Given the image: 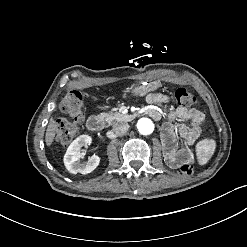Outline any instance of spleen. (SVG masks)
I'll use <instances>...</instances> for the list:
<instances>
[{
	"label": "spleen",
	"instance_id": "1",
	"mask_svg": "<svg viewBox=\"0 0 247 247\" xmlns=\"http://www.w3.org/2000/svg\"><path fill=\"white\" fill-rule=\"evenodd\" d=\"M206 141V146L203 149V152H201L199 149H196L197 152V163L199 166H204L208 163L210 160V148L212 147V144L215 146L216 141L214 139H205Z\"/></svg>",
	"mask_w": 247,
	"mask_h": 247
}]
</instances>
